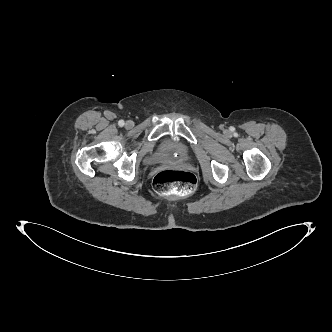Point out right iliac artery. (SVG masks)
Returning <instances> with one entry per match:
<instances>
[{"instance_id": "82829eb1", "label": "right iliac artery", "mask_w": 332, "mask_h": 332, "mask_svg": "<svg viewBox=\"0 0 332 332\" xmlns=\"http://www.w3.org/2000/svg\"><path fill=\"white\" fill-rule=\"evenodd\" d=\"M118 124H119L120 127H122V126H124L125 123H124L123 120H120V121L118 122Z\"/></svg>"}]
</instances>
